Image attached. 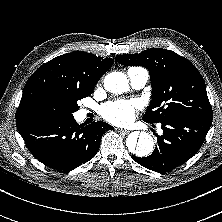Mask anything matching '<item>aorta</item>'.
Returning <instances> with one entry per match:
<instances>
[{"label": "aorta", "mask_w": 222, "mask_h": 222, "mask_svg": "<svg viewBox=\"0 0 222 222\" xmlns=\"http://www.w3.org/2000/svg\"><path fill=\"white\" fill-rule=\"evenodd\" d=\"M105 89L114 94H121L128 90V80L122 72L109 73L104 79ZM126 145L130 153L138 157H146L153 151V137L146 132H132Z\"/></svg>", "instance_id": "aorta-1"}]
</instances>
